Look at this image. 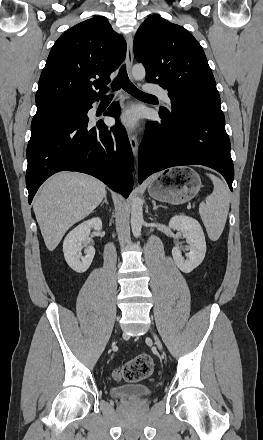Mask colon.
Returning a JSON list of instances; mask_svg holds the SVG:
<instances>
[{
    "label": "colon",
    "instance_id": "obj_1",
    "mask_svg": "<svg viewBox=\"0 0 263 440\" xmlns=\"http://www.w3.org/2000/svg\"><path fill=\"white\" fill-rule=\"evenodd\" d=\"M152 371V358L147 354H141L119 367L114 372V377L118 381L135 383L146 379Z\"/></svg>",
    "mask_w": 263,
    "mask_h": 440
}]
</instances>
